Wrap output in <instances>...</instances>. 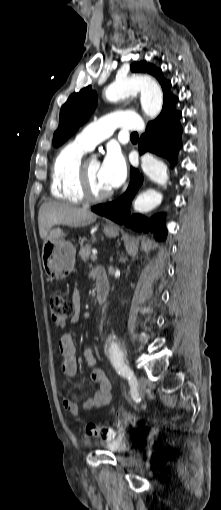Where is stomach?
Wrapping results in <instances>:
<instances>
[{
  "instance_id": "1",
  "label": "stomach",
  "mask_w": 221,
  "mask_h": 510,
  "mask_svg": "<svg viewBox=\"0 0 221 510\" xmlns=\"http://www.w3.org/2000/svg\"><path fill=\"white\" fill-rule=\"evenodd\" d=\"M104 233L107 237L118 236L119 230L115 226H105ZM76 249L74 245L64 239L61 228H53L49 231L42 247V262L50 280H63L74 269Z\"/></svg>"
}]
</instances>
